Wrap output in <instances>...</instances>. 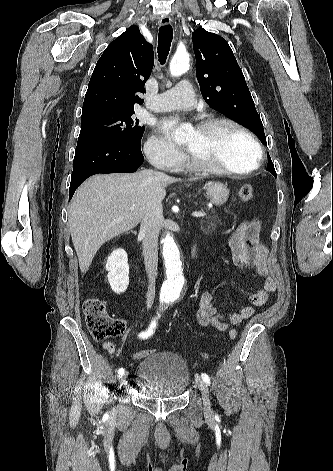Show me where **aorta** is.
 I'll use <instances>...</instances> for the list:
<instances>
[{
    "label": "aorta",
    "instance_id": "1",
    "mask_svg": "<svg viewBox=\"0 0 333 471\" xmlns=\"http://www.w3.org/2000/svg\"><path fill=\"white\" fill-rule=\"evenodd\" d=\"M189 55L187 53L175 54L170 63V73L172 76H181L189 67ZM187 125L176 131L175 139L182 142L185 139ZM162 254L166 267L167 279L164 281L160 291V301L168 302L172 298H177L184 286L183 267L179 248L170 233L162 238Z\"/></svg>",
    "mask_w": 333,
    "mask_h": 471
}]
</instances>
